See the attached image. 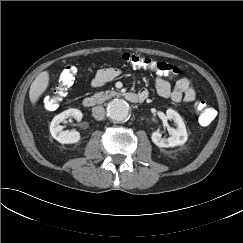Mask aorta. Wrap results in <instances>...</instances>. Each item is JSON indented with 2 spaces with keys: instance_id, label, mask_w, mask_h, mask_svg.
<instances>
[{
  "instance_id": "aorta-1",
  "label": "aorta",
  "mask_w": 243,
  "mask_h": 243,
  "mask_svg": "<svg viewBox=\"0 0 243 243\" xmlns=\"http://www.w3.org/2000/svg\"><path fill=\"white\" fill-rule=\"evenodd\" d=\"M129 105L123 99H114L107 106V115L113 121H123L129 115Z\"/></svg>"
}]
</instances>
